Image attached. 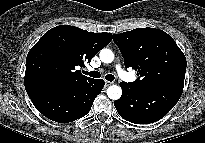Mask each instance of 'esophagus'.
<instances>
[{
  "label": "esophagus",
  "mask_w": 205,
  "mask_h": 143,
  "mask_svg": "<svg viewBox=\"0 0 205 143\" xmlns=\"http://www.w3.org/2000/svg\"><path fill=\"white\" fill-rule=\"evenodd\" d=\"M113 84V82H111V81H105V86H110V85H112Z\"/></svg>",
  "instance_id": "34e87169"
}]
</instances>
